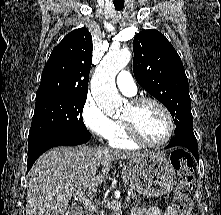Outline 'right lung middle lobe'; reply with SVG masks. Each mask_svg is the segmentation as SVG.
I'll list each match as a JSON object with an SVG mask.
<instances>
[{
    "mask_svg": "<svg viewBox=\"0 0 221 215\" xmlns=\"http://www.w3.org/2000/svg\"><path fill=\"white\" fill-rule=\"evenodd\" d=\"M87 96H56L35 103L28 146L50 138L89 133L82 120Z\"/></svg>",
    "mask_w": 221,
    "mask_h": 215,
    "instance_id": "1",
    "label": "right lung middle lobe"
}]
</instances>
